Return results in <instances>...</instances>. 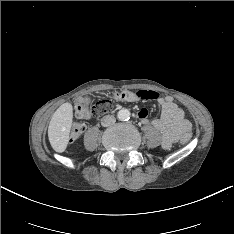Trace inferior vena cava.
Here are the masks:
<instances>
[{
	"label": "inferior vena cava",
	"mask_w": 234,
	"mask_h": 234,
	"mask_svg": "<svg viewBox=\"0 0 234 234\" xmlns=\"http://www.w3.org/2000/svg\"><path fill=\"white\" fill-rule=\"evenodd\" d=\"M116 122V119L113 115H106L101 119V124L104 127L113 125Z\"/></svg>",
	"instance_id": "inferior-vena-cava-1"
}]
</instances>
